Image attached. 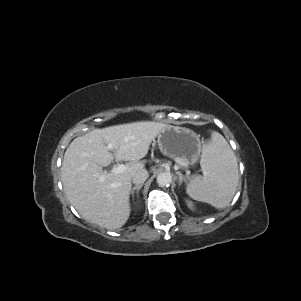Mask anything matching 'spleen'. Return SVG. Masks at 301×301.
Returning a JSON list of instances; mask_svg holds the SVG:
<instances>
[{
    "instance_id": "1",
    "label": "spleen",
    "mask_w": 301,
    "mask_h": 301,
    "mask_svg": "<svg viewBox=\"0 0 301 301\" xmlns=\"http://www.w3.org/2000/svg\"><path fill=\"white\" fill-rule=\"evenodd\" d=\"M200 165L203 176L189 182L187 194L196 201L225 208L235 194L239 175L236 157L221 134L214 132L211 142L203 146Z\"/></svg>"
}]
</instances>
